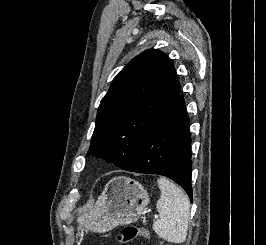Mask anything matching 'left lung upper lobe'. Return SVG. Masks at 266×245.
Instances as JSON below:
<instances>
[{
  "label": "left lung upper lobe",
  "mask_w": 266,
  "mask_h": 245,
  "mask_svg": "<svg viewBox=\"0 0 266 245\" xmlns=\"http://www.w3.org/2000/svg\"><path fill=\"white\" fill-rule=\"evenodd\" d=\"M179 93L176 70L166 54L149 49L136 56L101 100L87 155L125 170L142 136Z\"/></svg>",
  "instance_id": "left-lung-upper-lobe-1"
}]
</instances>
